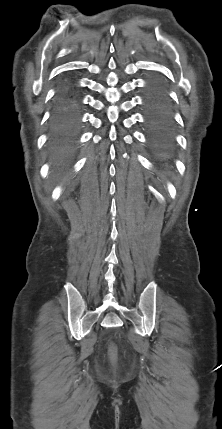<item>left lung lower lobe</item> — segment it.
Instances as JSON below:
<instances>
[{
	"mask_svg": "<svg viewBox=\"0 0 222 429\" xmlns=\"http://www.w3.org/2000/svg\"><path fill=\"white\" fill-rule=\"evenodd\" d=\"M144 110L151 145L157 151H163L173 140L174 119L167 87L161 80L155 78L149 82Z\"/></svg>",
	"mask_w": 222,
	"mask_h": 429,
	"instance_id": "1",
	"label": "left lung lower lobe"
}]
</instances>
